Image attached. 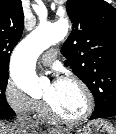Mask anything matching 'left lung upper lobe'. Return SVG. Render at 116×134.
I'll return each mask as SVG.
<instances>
[{
	"label": "left lung upper lobe",
	"instance_id": "5c2ea615",
	"mask_svg": "<svg viewBox=\"0 0 116 134\" xmlns=\"http://www.w3.org/2000/svg\"><path fill=\"white\" fill-rule=\"evenodd\" d=\"M73 29L61 52L90 89L96 112L116 109V9L104 0H68Z\"/></svg>",
	"mask_w": 116,
	"mask_h": 134
}]
</instances>
